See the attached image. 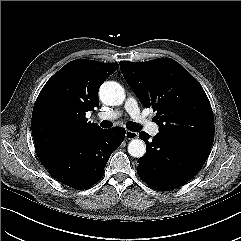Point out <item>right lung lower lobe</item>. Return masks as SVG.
<instances>
[{
    "label": "right lung lower lobe",
    "mask_w": 241,
    "mask_h": 241,
    "mask_svg": "<svg viewBox=\"0 0 241 241\" xmlns=\"http://www.w3.org/2000/svg\"><path fill=\"white\" fill-rule=\"evenodd\" d=\"M124 136V128L101 129L86 139L38 157L53 178L73 188L85 189L100 180L109 157Z\"/></svg>",
    "instance_id": "obj_1"
}]
</instances>
